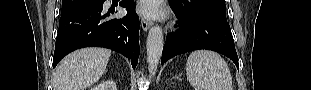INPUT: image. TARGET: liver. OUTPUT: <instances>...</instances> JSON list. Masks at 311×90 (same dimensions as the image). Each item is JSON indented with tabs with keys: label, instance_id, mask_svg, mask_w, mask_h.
I'll use <instances>...</instances> for the list:
<instances>
[{
	"label": "liver",
	"instance_id": "obj_1",
	"mask_svg": "<svg viewBox=\"0 0 311 90\" xmlns=\"http://www.w3.org/2000/svg\"><path fill=\"white\" fill-rule=\"evenodd\" d=\"M111 51L84 48L72 52L58 65L53 78L54 90H85L104 74Z\"/></svg>",
	"mask_w": 311,
	"mask_h": 90
}]
</instances>
